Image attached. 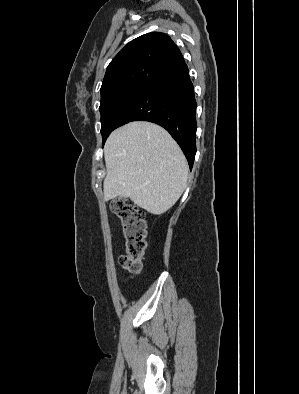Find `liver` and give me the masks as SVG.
<instances>
[{"label":"liver","mask_w":299,"mask_h":394,"mask_svg":"<svg viewBox=\"0 0 299 394\" xmlns=\"http://www.w3.org/2000/svg\"><path fill=\"white\" fill-rule=\"evenodd\" d=\"M105 200L130 198L151 214L169 210L184 192L188 164L170 134L154 123L134 121L114 130L104 146Z\"/></svg>","instance_id":"6515ba94"}]
</instances>
